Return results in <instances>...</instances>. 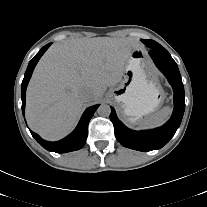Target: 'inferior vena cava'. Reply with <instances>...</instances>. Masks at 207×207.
<instances>
[{
	"label": "inferior vena cava",
	"mask_w": 207,
	"mask_h": 207,
	"mask_svg": "<svg viewBox=\"0 0 207 207\" xmlns=\"http://www.w3.org/2000/svg\"><path fill=\"white\" fill-rule=\"evenodd\" d=\"M82 99L87 100L90 97V92L89 91H84L81 94Z\"/></svg>",
	"instance_id": "602c4592"
}]
</instances>
